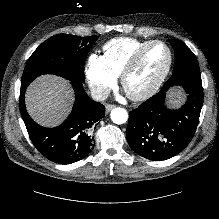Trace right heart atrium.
Segmentation results:
<instances>
[{
	"label": "right heart atrium",
	"instance_id": "right-heart-atrium-1",
	"mask_svg": "<svg viewBox=\"0 0 219 219\" xmlns=\"http://www.w3.org/2000/svg\"><path fill=\"white\" fill-rule=\"evenodd\" d=\"M85 76L92 92L104 95L112 86L116 75L108 68L102 55L92 53L85 64Z\"/></svg>",
	"mask_w": 219,
	"mask_h": 219
}]
</instances>
